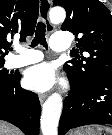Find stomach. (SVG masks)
I'll return each mask as SVG.
<instances>
[{"mask_svg":"<svg viewBox=\"0 0 112 135\" xmlns=\"http://www.w3.org/2000/svg\"><path fill=\"white\" fill-rule=\"evenodd\" d=\"M70 135H112V130L106 126L92 125L76 130Z\"/></svg>","mask_w":112,"mask_h":135,"instance_id":"1","label":"stomach"}]
</instances>
